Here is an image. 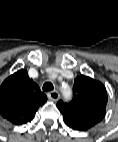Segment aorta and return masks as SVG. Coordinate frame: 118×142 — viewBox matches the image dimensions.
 <instances>
[{"mask_svg":"<svg viewBox=\"0 0 118 142\" xmlns=\"http://www.w3.org/2000/svg\"><path fill=\"white\" fill-rule=\"evenodd\" d=\"M62 94L66 99H70L72 96V89L70 88L69 85L65 84L61 88Z\"/></svg>","mask_w":118,"mask_h":142,"instance_id":"obj_1","label":"aorta"}]
</instances>
